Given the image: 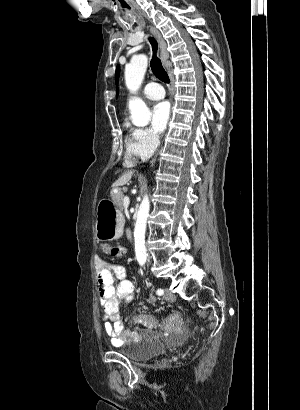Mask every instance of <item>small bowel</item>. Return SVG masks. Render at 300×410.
Returning <instances> with one entry per match:
<instances>
[{"label":"small bowel","mask_w":300,"mask_h":410,"mask_svg":"<svg viewBox=\"0 0 300 410\" xmlns=\"http://www.w3.org/2000/svg\"><path fill=\"white\" fill-rule=\"evenodd\" d=\"M95 272L99 300L103 307L104 330L113 346H121L137 338L135 329L127 327L119 316L122 304L129 303L135 293L134 283L127 278L126 270L121 265H114L112 270L97 259ZM118 282L115 284V282ZM170 328H175L170 325Z\"/></svg>","instance_id":"obj_1"}]
</instances>
